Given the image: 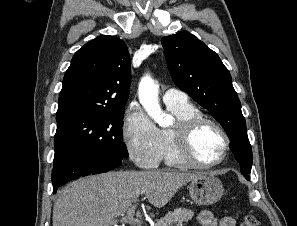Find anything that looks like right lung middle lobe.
<instances>
[{
	"instance_id": "right-lung-middle-lobe-1",
	"label": "right lung middle lobe",
	"mask_w": 297,
	"mask_h": 226,
	"mask_svg": "<svg viewBox=\"0 0 297 226\" xmlns=\"http://www.w3.org/2000/svg\"><path fill=\"white\" fill-rule=\"evenodd\" d=\"M123 111L117 113H79L57 120L55 154L76 150H95L121 158L128 153L122 139Z\"/></svg>"
}]
</instances>
